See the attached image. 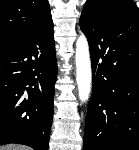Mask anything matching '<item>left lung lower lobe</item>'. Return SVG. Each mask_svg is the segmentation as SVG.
Returning a JSON list of instances; mask_svg holds the SVG:
<instances>
[{"mask_svg": "<svg viewBox=\"0 0 139 150\" xmlns=\"http://www.w3.org/2000/svg\"><path fill=\"white\" fill-rule=\"evenodd\" d=\"M80 27L93 78L84 150H139V10L84 9Z\"/></svg>", "mask_w": 139, "mask_h": 150, "instance_id": "obj_1", "label": "left lung lower lobe"}]
</instances>
